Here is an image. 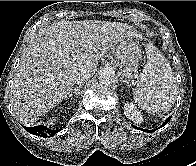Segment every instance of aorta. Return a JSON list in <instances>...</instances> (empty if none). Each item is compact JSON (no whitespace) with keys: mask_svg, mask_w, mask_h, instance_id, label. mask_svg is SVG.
<instances>
[{"mask_svg":"<svg viewBox=\"0 0 196 166\" xmlns=\"http://www.w3.org/2000/svg\"><path fill=\"white\" fill-rule=\"evenodd\" d=\"M115 73L110 68L102 69L98 74V80L102 84H111L114 82Z\"/></svg>","mask_w":196,"mask_h":166,"instance_id":"aorta-1","label":"aorta"}]
</instances>
